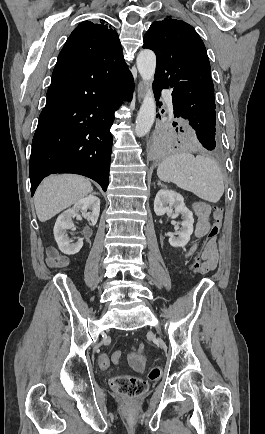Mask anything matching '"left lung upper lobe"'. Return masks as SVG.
<instances>
[{"label":"left lung upper lobe","mask_w":265,"mask_h":434,"mask_svg":"<svg viewBox=\"0 0 265 434\" xmlns=\"http://www.w3.org/2000/svg\"><path fill=\"white\" fill-rule=\"evenodd\" d=\"M143 48L157 56L154 85L171 88L173 106L193 127L216 126L214 86L203 41L188 23L166 17L155 21Z\"/></svg>","instance_id":"left-lung-upper-lobe-1"}]
</instances>
